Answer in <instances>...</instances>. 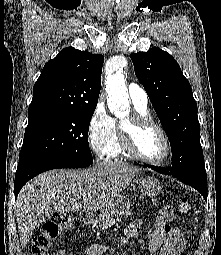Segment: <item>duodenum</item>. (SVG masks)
<instances>
[{
  "label": "duodenum",
  "instance_id": "410a0bca",
  "mask_svg": "<svg viewBox=\"0 0 221 255\" xmlns=\"http://www.w3.org/2000/svg\"><path fill=\"white\" fill-rule=\"evenodd\" d=\"M94 218H95L94 215H92L91 213H88V212H83L82 215H81V219L83 221H91Z\"/></svg>",
  "mask_w": 221,
  "mask_h": 255
}]
</instances>
